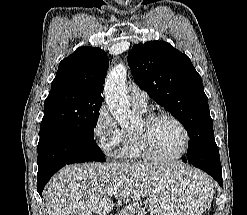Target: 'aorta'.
Wrapping results in <instances>:
<instances>
[{
	"label": "aorta",
	"instance_id": "obj_1",
	"mask_svg": "<svg viewBox=\"0 0 247 215\" xmlns=\"http://www.w3.org/2000/svg\"><path fill=\"white\" fill-rule=\"evenodd\" d=\"M126 77V66L120 63L107 75L104 84V96L107 108L123 128L136 123V116L129 109Z\"/></svg>",
	"mask_w": 247,
	"mask_h": 215
}]
</instances>
